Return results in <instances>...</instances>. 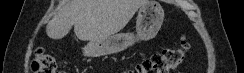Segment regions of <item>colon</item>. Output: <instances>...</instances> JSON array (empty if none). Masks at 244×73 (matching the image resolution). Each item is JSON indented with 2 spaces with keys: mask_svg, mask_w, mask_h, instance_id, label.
I'll return each instance as SVG.
<instances>
[{
  "mask_svg": "<svg viewBox=\"0 0 244 73\" xmlns=\"http://www.w3.org/2000/svg\"><path fill=\"white\" fill-rule=\"evenodd\" d=\"M189 43L182 39L179 46L166 48L137 63L126 73H172L186 59ZM34 73H58L56 59L44 50H37L31 62Z\"/></svg>",
  "mask_w": 244,
  "mask_h": 73,
  "instance_id": "obj_1",
  "label": "colon"
}]
</instances>
